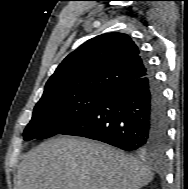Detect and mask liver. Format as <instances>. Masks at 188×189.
<instances>
[{
	"mask_svg": "<svg viewBox=\"0 0 188 189\" xmlns=\"http://www.w3.org/2000/svg\"><path fill=\"white\" fill-rule=\"evenodd\" d=\"M152 179L142 162L116 148L61 136L24 156L15 189H140Z\"/></svg>",
	"mask_w": 188,
	"mask_h": 189,
	"instance_id": "6515ba94",
	"label": "liver"
}]
</instances>
